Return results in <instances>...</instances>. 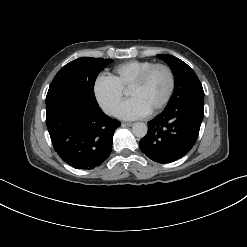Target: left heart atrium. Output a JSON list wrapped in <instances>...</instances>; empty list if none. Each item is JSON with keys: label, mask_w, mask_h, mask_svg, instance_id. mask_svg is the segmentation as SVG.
Here are the masks:
<instances>
[{"label": "left heart atrium", "mask_w": 247, "mask_h": 247, "mask_svg": "<svg viewBox=\"0 0 247 247\" xmlns=\"http://www.w3.org/2000/svg\"><path fill=\"white\" fill-rule=\"evenodd\" d=\"M149 110L137 99H130L123 103L116 111L122 119H137L146 116Z\"/></svg>", "instance_id": "1"}]
</instances>
